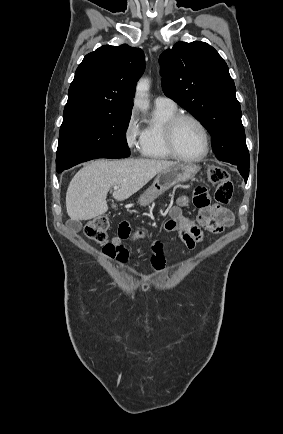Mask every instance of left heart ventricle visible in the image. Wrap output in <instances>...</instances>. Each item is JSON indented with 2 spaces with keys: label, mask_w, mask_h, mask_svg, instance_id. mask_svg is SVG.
<instances>
[{
  "label": "left heart ventricle",
  "mask_w": 283,
  "mask_h": 434,
  "mask_svg": "<svg viewBox=\"0 0 283 434\" xmlns=\"http://www.w3.org/2000/svg\"><path fill=\"white\" fill-rule=\"evenodd\" d=\"M177 150L185 156L193 157L203 151V136L198 126L190 120H182L175 130Z\"/></svg>",
  "instance_id": "b2bd125f"
}]
</instances>
